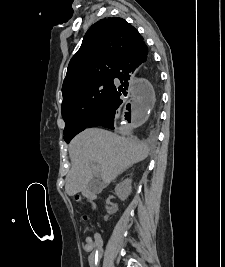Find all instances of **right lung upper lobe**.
<instances>
[{
  "instance_id": "cb5924a9",
  "label": "right lung upper lobe",
  "mask_w": 225,
  "mask_h": 267,
  "mask_svg": "<svg viewBox=\"0 0 225 267\" xmlns=\"http://www.w3.org/2000/svg\"><path fill=\"white\" fill-rule=\"evenodd\" d=\"M143 37L122 18H109L92 25L78 52L70 60L62 93L89 81L114 75L124 54Z\"/></svg>"
}]
</instances>
